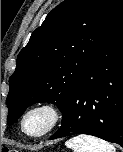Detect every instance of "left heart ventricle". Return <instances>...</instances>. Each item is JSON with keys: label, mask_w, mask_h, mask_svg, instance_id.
<instances>
[{"label": "left heart ventricle", "mask_w": 123, "mask_h": 152, "mask_svg": "<svg viewBox=\"0 0 123 152\" xmlns=\"http://www.w3.org/2000/svg\"><path fill=\"white\" fill-rule=\"evenodd\" d=\"M49 120L50 117L47 112L36 111L26 119V130L30 133H39L47 127Z\"/></svg>", "instance_id": "1"}]
</instances>
